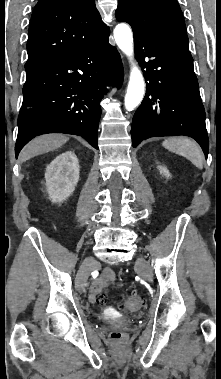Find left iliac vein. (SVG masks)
<instances>
[{"instance_id": "left-iliac-vein-1", "label": "left iliac vein", "mask_w": 221, "mask_h": 379, "mask_svg": "<svg viewBox=\"0 0 221 379\" xmlns=\"http://www.w3.org/2000/svg\"><path fill=\"white\" fill-rule=\"evenodd\" d=\"M136 267L142 276L149 282L152 281L153 275L148 263L144 260V258L139 257L136 261Z\"/></svg>"}]
</instances>
